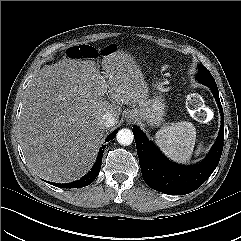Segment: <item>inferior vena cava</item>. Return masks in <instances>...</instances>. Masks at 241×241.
Masks as SVG:
<instances>
[{"label": "inferior vena cava", "instance_id": "inferior-vena-cava-1", "mask_svg": "<svg viewBox=\"0 0 241 241\" xmlns=\"http://www.w3.org/2000/svg\"><path fill=\"white\" fill-rule=\"evenodd\" d=\"M116 118L114 115L110 112H106L101 119L102 126L109 128L111 126H114L116 124Z\"/></svg>", "mask_w": 241, "mask_h": 241}]
</instances>
